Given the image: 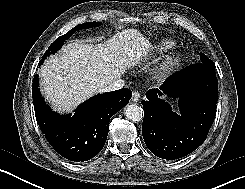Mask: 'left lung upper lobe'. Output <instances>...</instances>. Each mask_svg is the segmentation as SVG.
<instances>
[{"label": "left lung upper lobe", "mask_w": 245, "mask_h": 189, "mask_svg": "<svg viewBox=\"0 0 245 189\" xmlns=\"http://www.w3.org/2000/svg\"><path fill=\"white\" fill-rule=\"evenodd\" d=\"M200 60H201V63H204L208 65L209 67H211L212 69H215V64L213 63V61L209 59L205 54L200 53Z\"/></svg>", "instance_id": "obj_1"}]
</instances>
